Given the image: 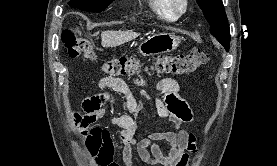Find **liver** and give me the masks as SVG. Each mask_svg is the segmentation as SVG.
I'll use <instances>...</instances> for the list:
<instances>
[{
	"label": "liver",
	"instance_id": "1",
	"mask_svg": "<svg viewBox=\"0 0 277 166\" xmlns=\"http://www.w3.org/2000/svg\"><path fill=\"white\" fill-rule=\"evenodd\" d=\"M78 33L80 32L78 31ZM139 35L133 31H103L101 44L103 47H116L137 38Z\"/></svg>",
	"mask_w": 277,
	"mask_h": 166
}]
</instances>
